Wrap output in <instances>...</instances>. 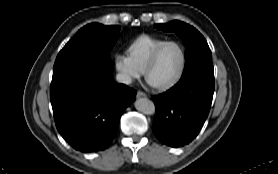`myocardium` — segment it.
Wrapping results in <instances>:
<instances>
[{
  "label": "myocardium",
  "instance_id": "f54148a6",
  "mask_svg": "<svg viewBox=\"0 0 278 174\" xmlns=\"http://www.w3.org/2000/svg\"><path fill=\"white\" fill-rule=\"evenodd\" d=\"M171 44H175L179 47L180 51H181V64H180V67H179V70L178 72L176 73V75L171 79L169 80L168 82H165V83H161L159 85H157V87L159 89H168L172 86H174L179 80L180 78L182 77L183 75V72H184V69H185V65H186V52H185V48L184 46L179 43V42H176V41H170V42H166V43H163L161 44L154 52L153 54L151 55L150 59L148 60L146 66H145V69H144V73L145 75L147 76L148 73L150 72L151 68L153 67L156 59L158 58L160 52L168 45H171Z\"/></svg>",
  "mask_w": 278,
  "mask_h": 174
}]
</instances>
